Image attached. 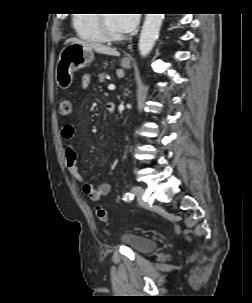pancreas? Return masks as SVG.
<instances>
[{"label": "pancreas", "instance_id": "pancreas-1", "mask_svg": "<svg viewBox=\"0 0 252 303\" xmlns=\"http://www.w3.org/2000/svg\"><path fill=\"white\" fill-rule=\"evenodd\" d=\"M107 74L106 73H100L98 75V79L100 82H104L105 81V78H106Z\"/></svg>", "mask_w": 252, "mask_h": 303}]
</instances>
